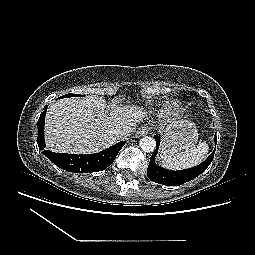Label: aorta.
<instances>
[{"label":"aorta","mask_w":255,"mask_h":255,"mask_svg":"<svg viewBox=\"0 0 255 255\" xmlns=\"http://www.w3.org/2000/svg\"><path fill=\"white\" fill-rule=\"evenodd\" d=\"M139 146L143 152L150 153L156 148V141L150 136H145L140 139Z\"/></svg>","instance_id":"aorta-1"}]
</instances>
